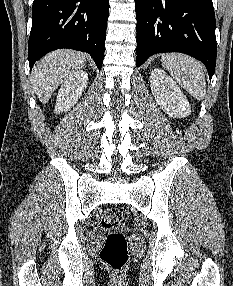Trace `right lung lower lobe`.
<instances>
[{
  "label": "right lung lower lobe",
  "mask_w": 233,
  "mask_h": 286,
  "mask_svg": "<svg viewBox=\"0 0 233 286\" xmlns=\"http://www.w3.org/2000/svg\"><path fill=\"white\" fill-rule=\"evenodd\" d=\"M109 0H34L28 44L30 70L50 51L69 48L104 58Z\"/></svg>",
  "instance_id": "obj_1"
}]
</instances>
